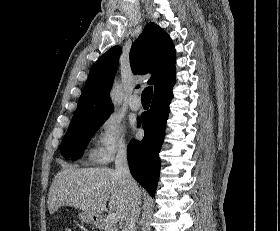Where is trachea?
Returning a JSON list of instances; mask_svg holds the SVG:
<instances>
[{"instance_id":"1","label":"trachea","mask_w":280,"mask_h":231,"mask_svg":"<svg viewBox=\"0 0 280 231\" xmlns=\"http://www.w3.org/2000/svg\"><path fill=\"white\" fill-rule=\"evenodd\" d=\"M152 93H153V88L152 86H148L145 88L142 92L141 99H142V104L149 106L152 98Z\"/></svg>"}]
</instances>
